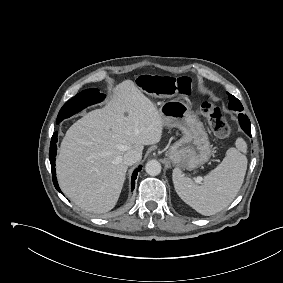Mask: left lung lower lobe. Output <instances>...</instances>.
Segmentation results:
<instances>
[{
  "label": "left lung lower lobe",
  "mask_w": 283,
  "mask_h": 283,
  "mask_svg": "<svg viewBox=\"0 0 283 283\" xmlns=\"http://www.w3.org/2000/svg\"><path fill=\"white\" fill-rule=\"evenodd\" d=\"M239 123L244 132L251 137L250 121L246 115L240 113L238 115Z\"/></svg>",
  "instance_id": "obj_1"
}]
</instances>
